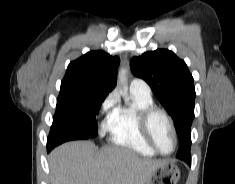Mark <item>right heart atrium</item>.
Instances as JSON below:
<instances>
[{
    "mask_svg": "<svg viewBox=\"0 0 235 184\" xmlns=\"http://www.w3.org/2000/svg\"><path fill=\"white\" fill-rule=\"evenodd\" d=\"M119 107V96L117 92H111L100 104L98 111L97 133L99 137H104L110 132L114 113Z\"/></svg>",
    "mask_w": 235,
    "mask_h": 184,
    "instance_id": "obj_1",
    "label": "right heart atrium"
}]
</instances>
